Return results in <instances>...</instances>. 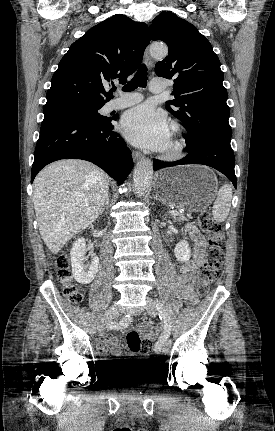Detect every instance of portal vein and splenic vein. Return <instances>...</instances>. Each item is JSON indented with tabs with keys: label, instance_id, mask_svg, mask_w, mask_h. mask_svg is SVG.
Segmentation results:
<instances>
[{
	"label": "portal vein and splenic vein",
	"instance_id": "18ae733b",
	"mask_svg": "<svg viewBox=\"0 0 275 431\" xmlns=\"http://www.w3.org/2000/svg\"><path fill=\"white\" fill-rule=\"evenodd\" d=\"M170 214H172V215H179L180 213L177 210H171Z\"/></svg>",
	"mask_w": 275,
	"mask_h": 431
}]
</instances>
